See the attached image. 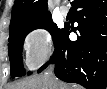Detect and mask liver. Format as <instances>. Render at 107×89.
<instances>
[{"instance_id":"1","label":"liver","mask_w":107,"mask_h":89,"mask_svg":"<svg viewBox=\"0 0 107 89\" xmlns=\"http://www.w3.org/2000/svg\"><path fill=\"white\" fill-rule=\"evenodd\" d=\"M9 89H81L79 86H71L55 78L52 82L44 73L18 81L9 86Z\"/></svg>"}]
</instances>
